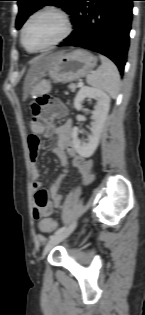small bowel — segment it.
I'll list each match as a JSON object with an SVG mask.
<instances>
[{
    "label": "small bowel",
    "mask_w": 145,
    "mask_h": 315,
    "mask_svg": "<svg viewBox=\"0 0 145 315\" xmlns=\"http://www.w3.org/2000/svg\"><path fill=\"white\" fill-rule=\"evenodd\" d=\"M72 130L73 126L70 121H67L63 125L53 129V134L56 136V143L53 146L52 151L60 159L64 167V171L63 174L60 175L49 188L50 201L47 191L41 189V182L39 181L40 172L37 167L38 154L39 149L42 146V141L40 137L36 136V134L45 132V129L37 127L34 131L35 133L27 137V147H29V158L31 161L30 174L32 178V189L36 191V207L33 210V217L39 221V224L42 221L43 216H50L55 209L61 206V184L63 178L68 173L70 165L79 170L84 183H89L93 180L92 162L90 160H86L83 156L77 153L73 144ZM54 223L56 224L55 221ZM38 239L44 240L41 235L38 236Z\"/></svg>",
    "instance_id": "1"
}]
</instances>
